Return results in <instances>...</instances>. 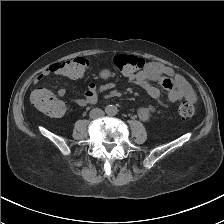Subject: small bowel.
I'll use <instances>...</instances> for the list:
<instances>
[{
  "instance_id": "small-bowel-1",
  "label": "small bowel",
  "mask_w": 224,
  "mask_h": 224,
  "mask_svg": "<svg viewBox=\"0 0 224 224\" xmlns=\"http://www.w3.org/2000/svg\"><path fill=\"white\" fill-rule=\"evenodd\" d=\"M61 62H54L48 65L36 77L35 83L39 84L46 77L51 74L62 75L60 69ZM129 82L140 86L146 93L158 100L161 97V90H165L168 99L171 102H179L186 99L190 102L196 101V94L187 80L180 74L176 73L171 67L163 63L151 61L145 64L144 68L140 71L127 75ZM101 78L106 82L102 85L90 83L87 87L84 97L72 98L70 101L78 106H86L97 102L98 95L101 92L112 90L115 88L116 83L109 81V73L107 71L101 72ZM160 87V88H159ZM66 89L60 88L58 95L63 97L66 95ZM155 112L152 106H141L137 110L138 117L144 122H150L151 116Z\"/></svg>"
}]
</instances>
